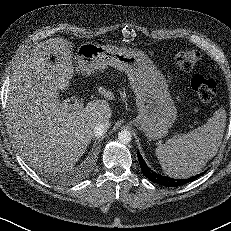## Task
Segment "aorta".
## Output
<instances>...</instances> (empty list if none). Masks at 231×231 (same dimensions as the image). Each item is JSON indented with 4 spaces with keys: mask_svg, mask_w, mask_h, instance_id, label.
<instances>
[{
    "mask_svg": "<svg viewBox=\"0 0 231 231\" xmlns=\"http://www.w3.org/2000/svg\"><path fill=\"white\" fill-rule=\"evenodd\" d=\"M118 139L121 143L128 144L132 139V135L128 130H122L118 133Z\"/></svg>",
    "mask_w": 231,
    "mask_h": 231,
    "instance_id": "1",
    "label": "aorta"
}]
</instances>
